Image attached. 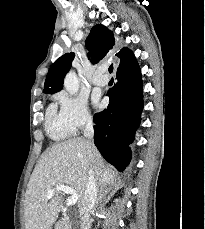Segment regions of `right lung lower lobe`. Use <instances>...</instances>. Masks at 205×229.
I'll use <instances>...</instances> for the list:
<instances>
[{"mask_svg": "<svg viewBox=\"0 0 205 229\" xmlns=\"http://www.w3.org/2000/svg\"><path fill=\"white\" fill-rule=\"evenodd\" d=\"M117 83L107 92L109 105L96 113L94 143L101 155L119 171L131 158L129 144L141 120L143 108L141 71L136 61L118 68Z\"/></svg>", "mask_w": 205, "mask_h": 229, "instance_id": "98d812e1", "label": "right lung lower lobe"}]
</instances>
